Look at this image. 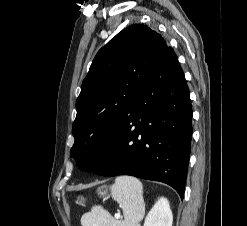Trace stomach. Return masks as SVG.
<instances>
[{
	"label": "stomach",
	"mask_w": 247,
	"mask_h": 226,
	"mask_svg": "<svg viewBox=\"0 0 247 226\" xmlns=\"http://www.w3.org/2000/svg\"><path fill=\"white\" fill-rule=\"evenodd\" d=\"M104 188L105 187H100L98 189V194L100 196H105L106 195L107 192H106V190H104ZM76 204L81 205V206H85V204H86V198L83 197V196H78L77 199H76Z\"/></svg>",
	"instance_id": "stomach-1"
}]
</instances>
